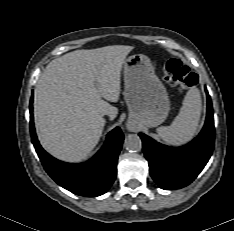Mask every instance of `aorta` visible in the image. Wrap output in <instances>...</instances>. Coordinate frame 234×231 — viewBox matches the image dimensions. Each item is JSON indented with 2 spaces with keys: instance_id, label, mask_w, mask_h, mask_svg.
Returning <instances> with one entry per match:
<instances>
[{
  "instance_id": "1",
  "label": "aorta",
  "mask_w": 234,
  "mask_h": 231,
  "mask_svg": "<svg viewBox=\"0 0 234 231\" xmlns=\"http://www.w3.org/2000/svg\"><path fill=\"white\" fill-rule=\"evenodd\" d=\"M124 147L130 152H138L142 148V141L137 134H129L124 140Z\"/></svg>"
}]
</instances>
